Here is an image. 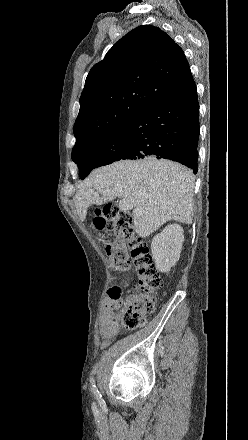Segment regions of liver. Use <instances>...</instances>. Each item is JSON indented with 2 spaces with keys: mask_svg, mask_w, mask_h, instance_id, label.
I'll use <instances>...</instances> for the list:
<instances>
[{
  "mask_svg": "<svg viewBox=\"0 0 248 440\" xmlns=\"http://www.w3.org/2000/svg\"><path fill=\"white\" fill-rule=\"evenodd\" d=\"M193 189L192 171L179 163L155 157L121 160L93 170L79 185L74 203L84 221L91 205L116 197L131 200L134 230L145 238L171 220L192 223Z\"/></svg>",
  "mask_w": 248,
  "mask_h": 440,
  "instance_id": "6515ba94",
  "label": "liver"
}]
</instances>
